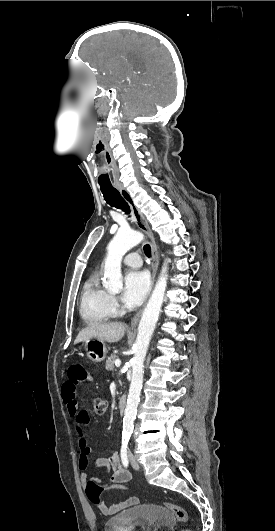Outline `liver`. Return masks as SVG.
<instances>
[{"label": "liver", "mask_w": 275, "mask_h": 531, "mask_svg": "<svg viewBox=\"0 0 275 531\" xmlns=\"http://www.w3.org/2000/svg\"><path fill=\"white\" fill-rule=\"evenodd\" d=\"M125 325L123 323H89L86 329L78 333L74 345L88 341V339H99L107 343H117L124 337Z\"/></svg>", "instance_id": "liver-1"}]
</instances>
